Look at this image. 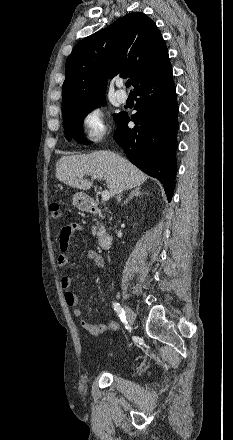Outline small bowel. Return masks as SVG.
Returning a JSON list of instances; mask_svg holds the SVG:
<instances>
[{"mask_svg": "<svg viewBox=\"0 0 233 440\" xmlns=\"http://www.w3.org/2000/svg\"><path fill=\"white\" fill-rule=\"evenodd\" d=\"M82 229L81 225L78 223H70L65 225L59 234V247L61 253L57 257L58 267L65 269L70 265V257L68 251L73 241V237L76 232ZM87 258L93 262L98 268H103L105 261L103 257L96 251L90 250L87 253ZM60 286L65 290L64 299L66 304L73 309V314L75 317H82L84 312L78 306L79 297L78 295L71 291L69 288L71 286V278L68 275H63L59 279ZM81 327L93 336H98L109 331H115L119 328V324L116 321H111L109 323H99L93 324L87 320H81Z\"/></svg>", "mask_w": 233, "mask_h": 440, "instance_id": "obj_1", "label": "small bowel"}]
</instances>
